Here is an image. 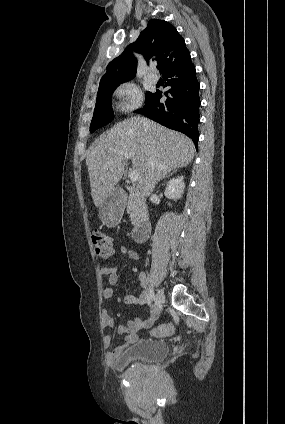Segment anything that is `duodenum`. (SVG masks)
<instances>
[{
    "label": "duodenum",
    "instance_id": "1",
    "mask_svg": "<svg viewBox=\"0 0 285 424\" xmlns=\"http://www.w3.org/2000/svg\"><path fill=\"white\" fill-rule=\"evenodd\" d=\"M151 222L148 219H144L138 223L134 229L133 238L136 243H144L150 234Z\"/></svg>",
    "mask_w": 285,
    "mask_h": 424
}]
</instances>
